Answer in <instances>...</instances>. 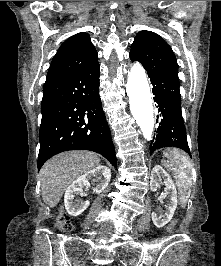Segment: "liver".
Instances as JSON below:
<instances>
[{"mask_svg": "<svg viewBox=\"0 0 221 266\" xmlns=\"http://www.w3.org/2000/svg\"><path fill=\"white\" fill-rule=\"evenodd\" d=\"M99 165V156L90 151H69L49 159L40 171L43 201L55 207L71 182Z\"/></svg>", "mask_w": 221, "mask_h": 266, "instance_id": "1", "label": "liver"}]
</instances>
